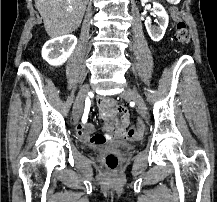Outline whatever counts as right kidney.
I'll return each instance as SVG.
<instances>
[{"label": "right kidney", "instance_id": "obj_1", "mask_svg": "<svg viewBox=\"0 0 217 202\" xmlns=\"http://www.w3.org/2000/svg\"><path fill=\"white\" fill-rule=\"evenodd\" d=\"M76 44L77 38L71 34L48 40L42 48V58L51 66H62L71 56Z\"/></svg>", "mask_w": 217, "mask_h": 202}]
</instances>
